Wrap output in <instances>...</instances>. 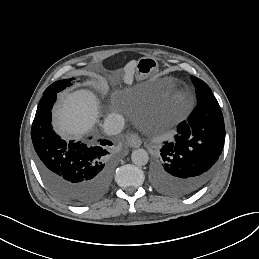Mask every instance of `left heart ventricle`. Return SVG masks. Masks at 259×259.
Listing matches in <instances>:
<instances>
[{
	"label": "left heart ventricle",
	"instance_id": "left-heart-ventricle-1",
	"mask_svg": "<svg viewBox=\"0 0 259 259\" xmlns=\"http://www.w3.org/2000/svg\"><path fill=\"white\" fill-rule=\"evenodd\" d=\"M168 83L169 82L162 83V84H168ZM156 85H160V84H156ZM171 85H178V86L182 87L186 91L185 87L183 85L179 84V83H172Z\"/></svg>",
	"mask_w": 259,
	"mask_h": 259
}]
</instances>
